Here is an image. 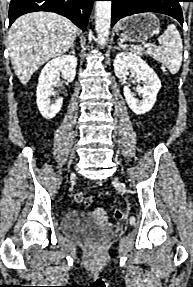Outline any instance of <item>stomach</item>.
I'll list each match as a JSON object with an SVG mask.
<instances>
[{
    "instance_id": "obj_1",
    "label": "stomach",
    "mask_w": 193,
    "mask_h": 287,
    "mask_svg": "<svg viewBox=\"0 0 193 287\" xmlns=\"http://www.w3.org/2000/svg\"><path fill=\"white\" fill-rule=\"evenodd\" d=\"M160 22L152 13L130 16L118 23L117 35L130 42H143L159 32Z\"/></svg>"
}]
</instances>
